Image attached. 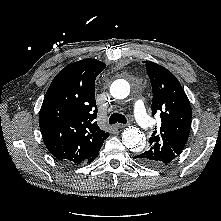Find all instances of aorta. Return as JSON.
Listing matches in <instances>:
<instances>
[{
    "label": "aorta",
    "mask_w": 221,
    "mask_h": 221,
    "mask_svg": "<svg viewBox=\"0 0 221 221\" xmlns=\"http://www.w3.org/2000/svg\"><path fill=\"white\" fill-rule=\"evenodd\" d=\"M110 93L116 99H124L130 93V85L125 80H116L110 87ZM122 142L125 147L133 152H139L143 150L146 143L141 131L133 126H129L123 131Z\"/></svg>",
    "instance_id": "1"
}]
</instances>
